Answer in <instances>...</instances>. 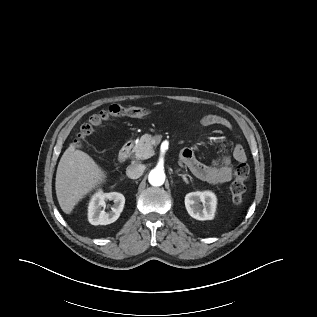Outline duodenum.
<instances>
[{"instance_id": "obj_1", "label": "duodenum", "mask_w": 317, "mask_h": 317, "mask_svg": "<svg viewBox=\"0 0 317 317\" xmlns=\"http://www.w3.org/2000/svg\"><path fill=\"white\" fill-rule=\"evenodd\" d=\"M130 149H131V142L127 141L119 151L118 159L120 162H123L128 158Z\"/></svg>"}]
</instances>
